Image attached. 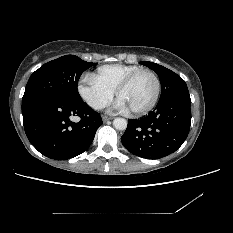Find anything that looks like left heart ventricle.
Listing matches in <instances>:
<instances>
[{
	"label": "left heart ventricle",
	"instance_id": "obj_1",
	"mask_svg": "<svg viewBox=\"0 0 233 233\" xmlns=\"http://www.w3.org/2000/svg\"><path fill=\"white\" fill-rule=\"evenodd\" d=\"M155 93V81L148 73L140 74L119 96L129 110L147 106Z\"/></svg>",
	"mask_w": 233,
	"mask_h": 233
}]
</instances>
